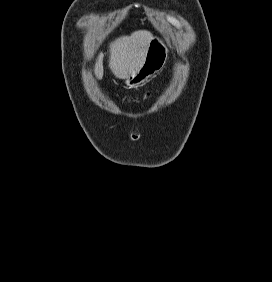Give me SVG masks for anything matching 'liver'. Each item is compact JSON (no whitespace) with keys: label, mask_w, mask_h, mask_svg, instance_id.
Masks as SVG:
<instances>
[{"label":"liver","mask_w":272,"mask_h":282,"mask_svg":"<svg viewBox=\"0 0 272 282\" xmlns=\"http://www.w3.org/2000/svg\"><path fill=\"white\" fill-rule=\"evenodd\" d=\"M151 39L152 34L149 31L139 30L110 44L109 67L116 78L127 79L142 67ZM94 72L98 79H102L101 54L96 60Z\"/></svg>","instance_id":"6515ba94"}]
</instances>
